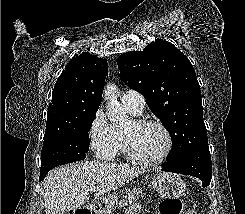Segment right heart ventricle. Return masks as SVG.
Segmentation results:
<instances>
[{
	"instance_id": "obj_1",
	"label": "right heart ventricle",
	"mask_w": 245,
	"mask_h": 214,
	"mask_svg": "<svg viewBox=\"0 0 245 214\" xmlns=\"http://www.w3.org/2000/svg\"><path fill=\"white\" fill-rule=\"evenodd\" d=\"M125 108L127 109V111H128L130 114H132V115H138V113H136V112L133 111L132 109L127 108V107H125ZM116 131H117V133H118L119 141H120L118 152H119V151L125 152V145H124V140H123V133H122L121 131H118V130H116Z\"/></svg>"
}]
</instances>
